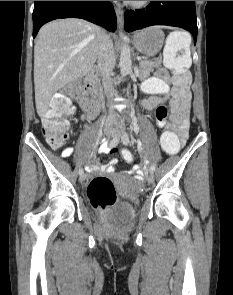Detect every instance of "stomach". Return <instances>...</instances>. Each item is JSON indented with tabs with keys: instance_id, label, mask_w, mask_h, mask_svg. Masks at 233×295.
<instances>
[{
	"instance_id": "obj_1",
	"label": "stomach",
	"mask_w": 233,
	"mask_h": 295,
	"mask_svg": "<svg viewBox=\"0 0 233 295\" xmlns=\"http://www.w3.org/2000/svg\"><path fill=\"white\" fill-rule=\"evenodd\" d=\"M164 37L163 31L159 27L152 26L135 32L133 43L138 52L147 57H152L161 50Z\"/></svg>"
}]
</instances>
